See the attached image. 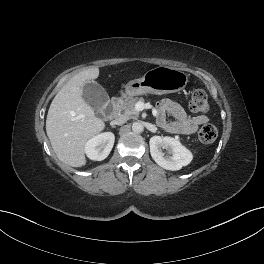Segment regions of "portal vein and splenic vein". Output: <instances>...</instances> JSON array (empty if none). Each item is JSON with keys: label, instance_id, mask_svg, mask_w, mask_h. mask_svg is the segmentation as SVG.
Instances as JSON below:
<instances>
[{"label": "portal vein and splenic vein", "instance_id": "18ae733b", "mask_svg": "<svg viewBox=\"0 0 264 264\" xmlns=\"http://www.w3.org/2000/svg\"><path fill=\"white\" fill-rule=\"evenodd\" d=\"M135 108H136L137 111H141V110H143V108H144V103H142V102H138V103L135 105Z\"/></svg>", "mask_w": 264, "mask_h": 264}]
</instances>
